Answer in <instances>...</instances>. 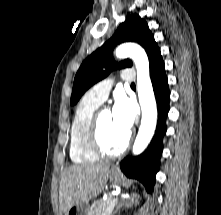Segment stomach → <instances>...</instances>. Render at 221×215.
<instances>
[{
    "mask_svg": "<svg viewBox=\"0 0 221 215\" xmlns=\"http://www.w3.org/2000/svg\"><path fill=\"white\" fill-rule=\"evenodd\" d=\"M108 178L113 184H121L123 176L121 172L115 168L108 171ZM89 204L79 203L71 207L65 215H88Z\"/></svg>",
    "mask_w": 221,
    "mask_h": 215,
    "instance_id": "0dacf381",
    "label": "stomach"
}]
</instances>
